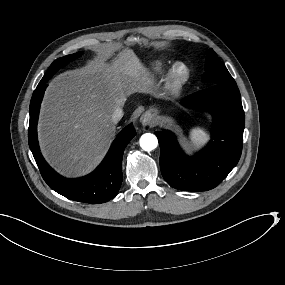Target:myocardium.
I'll list each match as a JSON object with an SVG mask.
<instances>
[{"instance_id":"myocardium-1","label":"myocardium","mask_w":285,"mask_h":285,"mask_svg":"<svg viewBox=\"0 0 285 285\" xmlns=\"http://www.w3.org/2000/svg\"><path fill=\"white\" fill-rule=\"evenodd\" d=\"M185 77H186V73L175 71L172 74V76H171V78L167 84L166 89L169 92L174 93L177 90V88L180 86V84L182 83V81Z\"/></svg>"}]
</instances>
